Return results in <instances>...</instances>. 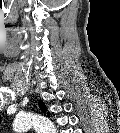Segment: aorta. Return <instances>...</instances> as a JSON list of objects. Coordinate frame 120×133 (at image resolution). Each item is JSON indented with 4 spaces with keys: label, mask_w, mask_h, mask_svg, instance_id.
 I'll return each instance as SVG.
<instances>
[{
    "label": "aorta",
    "mask_w": 120,
    "mask_h": 133,
    "mask_svg": "<svg viewBox=\"0 0 120 133\" xmlns=\"http://www.w3.org/2000/svg\"><path fill=\"white\" fill-rule=\"evenodd\" d=\"M31 127H35L40 131H54V126L52 123L45 117L37 114L19 116L14 122V129L16 131H24Z\"/></svg>",
    "instance_id": "762f6f07"
}]
</instances>
